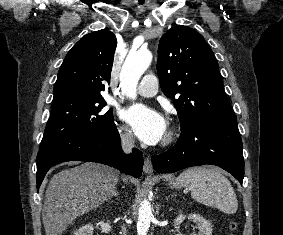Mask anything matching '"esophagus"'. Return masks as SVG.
I'll use <instances>...</instances> for the list:
<instances>
[{
  "mask_svg": "<svg viewBox=\"0 0 283 235\" xmlns=\"http://www.w3.org/2000/svg\"><path fill=\"white\" fill-rule=\"evenodd\" d=\"M143 171H144V173H146L148 175L153 174V166H152L150 157L145 158L144 165H143Z\"/></svg>",
  "mask_w": 283,
  "mask_h": 235,
  "instance_id": "esophagus-1",
  "label": "esophagus"
}]
</instances>
